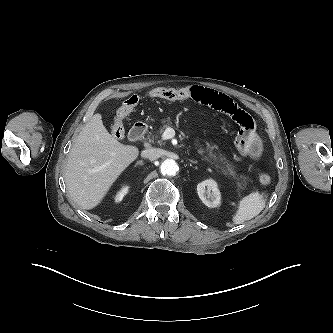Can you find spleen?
Listing matches in <instances>:
<instances>
[{
	"label": "spleen",
	"instance_id": "spleen-1",
	"mask_svg": "<svg viewBox=\"0 0 333 333\" xmlns=\"http://www.w3.org/2000/svg\"><path fill=\"white\" fill-rule=\"evenodd\" d=\"M266 201L258 192H253L240 200L239 207L233 216L234 224H242L257 216L264 208Z\"/></svg>",
	"mask_w": 333,
	"mask_h": 333
}]
</instances>
